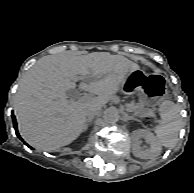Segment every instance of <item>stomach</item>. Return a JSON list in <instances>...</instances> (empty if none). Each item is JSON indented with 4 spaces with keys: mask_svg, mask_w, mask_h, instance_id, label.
<instances>
[{
    "mask_svg": "<svg viewBox=\"0 0 194 193\" xmlns=\"http://www.w3.org/2000/svg\"><path fill=\"white\" fill-rule=\"evenodd\" d=\"M128 93H136L139 96V107L156 106L168 96L167 82L160 74H146L141 70L130 73L122 85Z\"/></svg>",
    "mask_w": 194,
    "mask_h": 193,
    "instance_id": "obj_1",
    "label": "stomach"
}]
</instances>
